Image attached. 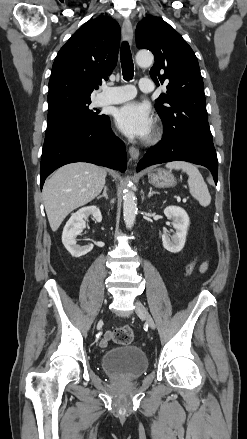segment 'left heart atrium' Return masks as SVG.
<instances>
[{"label": "left heart atrium", "mask_w": 247, "mask_h": 439, "mask_svg": "<svg viewBox=\"0 0 247 439\" xmlns=\"http://www.w3.org/2000/svg\"><path fill=\"white\" fill-rule=\"evenodd\" d=\"M115 122L125 135L132 138L148 137L153 127L150 109L137 102L119 107L115 112Z\"/></svg>", "instance_id": "1"}]
</instances>
